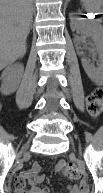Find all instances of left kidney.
<instances>
[{
  "label": "left kidney",
  "instance_id": "left-kidney-1",
  "mask_svg": "<svg viewBox=\"0 0 103 193\" xmlns=\"http://www.w3.org/2000/svg\"><path fill=\"white\" fill-rule=\"evenodd\" d=\"M70 20L72 30L80 29L83 30L85 34L92 35L94 49L98 54L100 63L97 67H93L85 59H82L81 62L88 77L94 82H101L103 79V40L101 31H99L98 28H95L91 22L74 17L73 14H70Z\"/></svg>",
  "mask_w": 103,
  "mask_h": 193
}]
</instances>
